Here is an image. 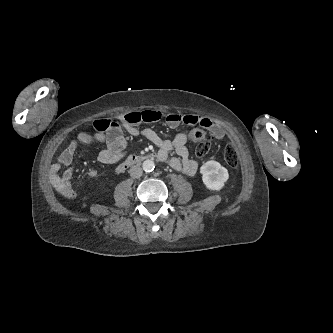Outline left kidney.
Instances as JSON below:
<instances>
[{
  "instance_id": "5707ae66",
  "label": "left kidney",
  "mask_w": 333,
  "mask_h": 333,
  "mask_svg": "<svg viewBox=\"0 0 333 333\" xmlns=\"http://www.w3.org/2000/svg\"><path fill=\"white\" fill-rule=\"evenodd\" d=\"M204 185L210 190H220L228 180L229 174L225 167L217 161H207L200 168Z\"/></svg>"
}]
</instances>
